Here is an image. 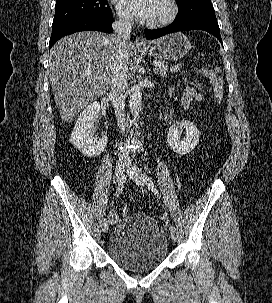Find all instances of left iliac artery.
<instances>
[{
  "mask_svg": "<svg viewBox=\"0 0 272 303\" xmlns=\"http://www.w3.org/2000/svg\"><path fill=\"white\" fill-rule=\"evenodd\" d=\"M144 176H145V179H146V183H147V185H148V188H149L155 195L158 196V195H159V194H158V190H157V188L155 187L153 180H152L147 174H144ZM169 223H171V222H169ZM170 230H176V228H175L173 225H171V226H170Z\"/></svg>",
  "mask_w": 272,
  "mask_h": 303,
  "instance_id": "left-iliac-artery-1",
  "label": "left iliac artery"
}]
</instances>
